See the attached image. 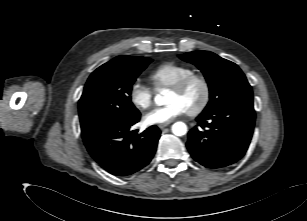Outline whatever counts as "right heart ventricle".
Wrapping results in <instances>:
<instances>
[{
  "instance_id": "right-heart-ventricle-1",
  "label": "right heart ventricle",
  "mask_w": 307,
  "mask_h": 221,
  "mask_svg": "<svg viewBox=\"0 0 307 221\" xmlns=\"http://www.w3.org/2000/svg\"><path fill=\"white\" fill-rule=\"evenodd\" d=\"M193 73L194 70L187 65L165 62L158 65L150 73V80L159 89L162 87H170L177 81Z\"/></svg>"
}]
</instances>
